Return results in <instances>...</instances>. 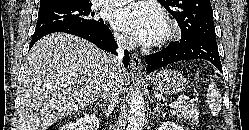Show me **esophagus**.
Returning <instances> with one entry per match:
<instances>
[{
  "instance_id": "1",
  "label": "esophagus",
  "mask_w": 249,
  "mask_h": 130,
  "mask_svg": "<svg viewBox=\"0 0 249 130\" xmlns=\"http://www.w3.org/2000/svg\"><path fill=\"white\" fill-rule=\"evenodd\" d=\"M131 69L135 74L140 75L142 72V63L137 53L132 54L131 57Z\"/></svg>"
}]
</instances>
